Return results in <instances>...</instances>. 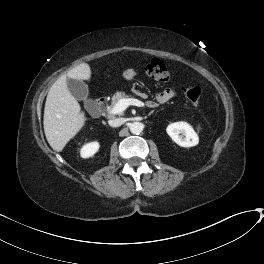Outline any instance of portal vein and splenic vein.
<instances>
[{
    "instance_id": "18ae733b",
    "label": "portal vein and splenic vein",
    "mask_w": 264,
    "mask_h": 264,
    "mask_svg": "<svg viewBox=\"0 0 264 264\" xmlns=\"http://www.w3.org/2000/svg\"><path fill=\"white\" fill-rule=\"evenodd\" d=\"M130 105L140 107L142 105V102L135 98L121 99L115 104V106L109 111V113L112 115L121 114Z\"/></svg>"
}]
</instances>
